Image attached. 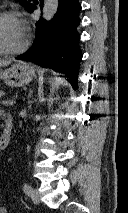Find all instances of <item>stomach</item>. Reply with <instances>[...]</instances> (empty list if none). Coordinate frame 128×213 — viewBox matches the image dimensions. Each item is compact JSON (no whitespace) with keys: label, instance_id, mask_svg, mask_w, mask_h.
I'll list each match as a JSON object with an SVG mask.
<instances>
[{"label":"stomach","instance_id":"stomach-1","mask_svg":"<svg viewBox=\"0 0 128 213\" xmlns=\"http://www.w3.org/2000/svg\"><path fill=\"white\" fill-rule=\"evenodd\" d=\"M35 76V70L25 63H16L8 69L0 70V79L14 87L30 83Z\"/></svg>","mask_w":128,"mask_h":213}]
</instances>
